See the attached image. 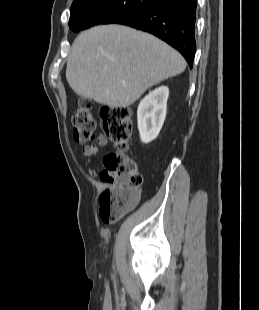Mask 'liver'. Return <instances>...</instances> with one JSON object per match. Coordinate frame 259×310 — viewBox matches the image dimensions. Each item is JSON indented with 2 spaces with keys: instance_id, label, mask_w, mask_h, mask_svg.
<instances>
[{
  "instance_id": "obj_1",
  "label": "liver",
  "mask_w": 259,
  "mask_h": 310,
  "mask_svg": "<svg viewBox=\"0 0 259 310\" xmlns=\"http://www.w3.org/2000/svg\"><path fill=\"white\" fill-rule=\"evenodd\" d=\"M185 68L182 55L157 37L113 24L78 35L68 57L66 79L81 97L125 108L148 88Z\"/></svg>"
}]
</instances>
